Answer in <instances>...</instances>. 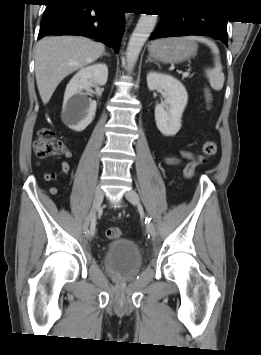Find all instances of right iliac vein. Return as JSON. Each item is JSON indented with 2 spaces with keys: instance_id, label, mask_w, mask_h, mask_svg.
I'll use <instances>...</instances> for the list:
<instances>
[{
  "instance_id": "63e3f726",
  "label": "right iliac vein",
  "mask_w": 261,
  "mask_h": 355,
  "mask_svg": "<svg viewBox=\"0 0 261 355\" xmlns=\"http://www.w3.org/2000/svg\"><path fill=\"white\" fill-rule=\"evenodd\" d=\"M102 201H103V190L100 186H97L95 189V192H94V198H93L91 209H90L88 215L86 216L84 224H83L84 231H86L88 229V227L92 221V218H93L95 212L100 207Z\"/></svg>"
}]
</instances>
